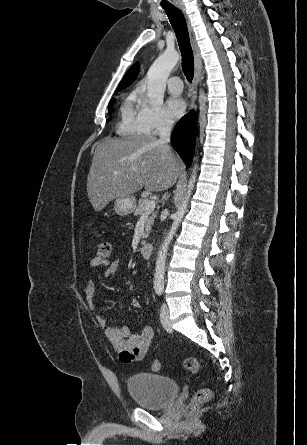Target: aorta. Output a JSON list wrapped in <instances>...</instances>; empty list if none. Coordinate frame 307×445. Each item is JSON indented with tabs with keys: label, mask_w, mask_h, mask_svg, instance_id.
I'll return each instance as SVG.
<instances>
[{
	"label": "aorta",
	"mask_w": 307,
	"mask_h": 445,
	"mask_svg": "<svg viewBox=\"0 0 307 445\" xmlns=\"http://www.w3.org/2000/svg\"><path fill=\"white\" fill-rule=\"evenodd\" d=\"M179 58L180 54L178 50H175V48H167V50H164V52L154 60L152 66H150L147 72V96L152 104H163L166 80L171 70L176 66ZM197 170L198 164H194L192 174L187 184L186 194L173 216V223L169 229V233L163 245H161L160 251H158L153 281L154 291H163L164 289L166 255L173 235H176V231L186 212L187 204L194 188Z\"/></svg>",
	"instance_id": "aorta-1"
}]
</instances>
